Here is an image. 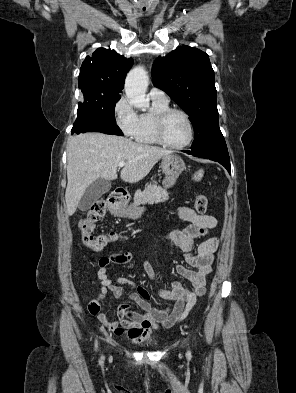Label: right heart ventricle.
<instances>
[{
	"label": "right heart ventricle",
	"mask_w": 296,
	"mask_h": 393,
	"mask_svg": "<svg viewBox=\"0 0 296 393\" xmlns=\"http://www.w3.org/2000/svg\"><path fill=\"white\" fill-rule=\"evenodd\" d=\"M168 108V103L152 100L151 110L139 116L138 129L135 135V139L138 143L143 145L159 144L155 132L156 118L161 112Z\"/></svg>",
	"instance_id": "e07e8e85"
}]
</instances>
